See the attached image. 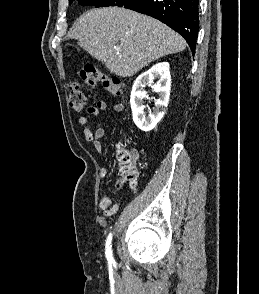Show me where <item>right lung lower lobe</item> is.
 Masks as SVG:
<instances>
[{"label": "right lung lower lobe", "mask_w": 259, "mask_h": 294, "mask_svg": "<svg viewBox=\"0 0 259 294\" xmlns=\"http://www.w3.org/2000/svg\"><path fill=\"white\" fill-rule=\"evenodd\" d=\"M199 0H130L122 7L152 16L178 32L195 53Z\"/></svg>", "instance_id": "98d812e1"}]
</instances>
